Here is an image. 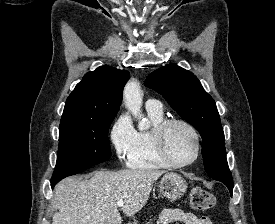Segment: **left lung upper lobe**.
<instances>
[{
    "label": "left lung upper lobe",
    "mask_w": 275,
    "mask_h": 224,
    "mask_svg": "<svg viewBox=\"0 0 275 224\" xmlns=\"http://www.w3.org/2000/svg\"><path fill=\"white\" fill-rule=\"evenodd\" d=\"M145 85L161 94L198 130L203 139L202 156L208 175L215 180L232 182L220 116L213 98L205 92L197 77L176 64H169L148 75Z\"/></svg>",
    "instance_id": "5c2ea615"
}]
</instances>
